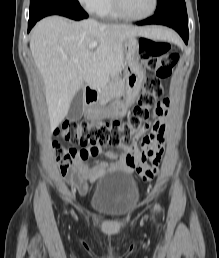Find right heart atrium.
<instances>
[{
	"instance_id": "obj_1",
	"label": "right heart atrium",
	"mask_w": 219,
	"mask_h": 258,
	"mask_svg": "<svg viewBox=\"0 0 219 258\" xmlns=\"http://www.w3.org/2000/svg\"><path fill=\"white\" fill-rule=\"evenodd\" d=\"M105 0H78L81 6L89 13L96 14Z\"/></svg>"
}]
</instances>
